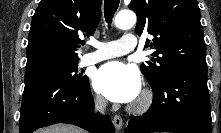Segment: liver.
Returning a JSON list of instances; mask_svg holds the SVG:
<instances>
[{
	"instance_id": "obj_1",
	"label": "liver",
	"mask_w": 221,
	"mask_h": 133,
	"mask_svg": "<svg viewBox=\"0 0 221 133\" xmlns=\"http://www.w3.org/2000/svg\"><path fill=\"white\" fill-rule=\"evenodd\" d=\"M38 133H85L82 129L76 128L72 125L56 124L41 129Z\"/></svg>"
}]
</instances>
